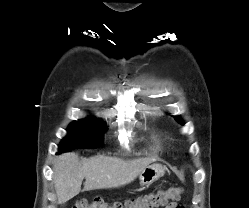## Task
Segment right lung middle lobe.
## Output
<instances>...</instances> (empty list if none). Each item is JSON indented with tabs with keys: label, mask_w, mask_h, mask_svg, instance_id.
Returning <instances> with one entry per match:
<instances>
[{
	"label": "right lung middle lobe",
	"mask_w": 249,
	"mask_h": 208,
	"mask_svg": "<svg viewBox=\"0 0 249 208\" xmlns=\"http://www.w3.org/2000/svg\"><path fill=\"white\" fill-rule=\"evenodd\" d=\"M106 124L100 119L86 118L71 123L68 135L61 141L59 152L74 148H96L102 145Z\"/></svg>",
	"instance_id": "1"
}]
</instances>
